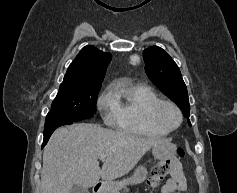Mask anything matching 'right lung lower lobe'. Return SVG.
<instances>
[{"label": "right lung lower lobe", "mask_w": 237, "mask_h": 193, "mask_svg": "<svg viewBox=\"0 0 237 193\" xmlns=\"http://www.w3.org/2000/svg\"><path fill=\"white\" fill-rule=\"evenodd\" d=\"M72 122L73 121L63 118V117L47 115L46 120H45L44 140H43L42 148L46 145V143L48 142L50 136L55 131V129L63 125L72 124Z\"/></svg>", "instance_id": "1"}]
</instances>
